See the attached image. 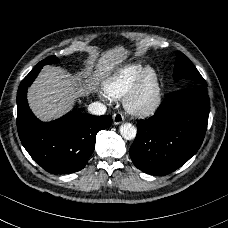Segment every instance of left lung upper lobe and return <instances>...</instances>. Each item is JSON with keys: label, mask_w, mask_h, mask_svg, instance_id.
<instances>
[{"label": "left lung upper lobe", "mask_w": 228, "mask_h": 228, "mask_svg": "<svg viewBox=\"0 0 228 228\" xmlns=\"http://www.w3.org/2000/svg\"><path fill=\"white\" fill-rule=\"evenodd\" d=\"M173 78L175 81L186 80V88L206 87L207 84L193 63L182 52H177Z\"/></svg>", "instance_id": "5c2ea615"}]
</instances>
